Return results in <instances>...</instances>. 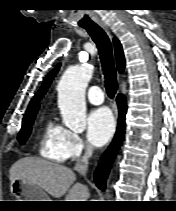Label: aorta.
I'll return each mask as SVG.
<instances>
[{"instance_id":"762f6f07","label":"aorta","mask_w":176,"mask_h":211,"mask_svg":"<svg viewBox=\"0 0 176 211\" xmlns=\"http://www.w3.org/2000/svg\"><path fill=\"white\" fill-rule=\"evenodd\" d=\"M93 74L90 65L70 67L58 84V106L64 124L74 130L86 127L85 90Z\"/></svg>"}]
</instances>
